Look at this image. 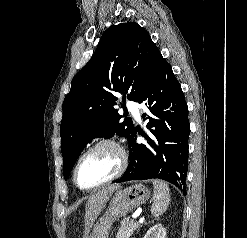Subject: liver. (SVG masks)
Wrapping results in <instances>:
<instances>
[{"mask_svg":"<svg viewBox=\"0 0 247 238\" xmlns=\"http://www.w3.org/2000/svg\"><path fill=\"white\" fill-rule=\"evenodd\" d=\"M119 188V185H110L104 187L88 199L85 207L86 232L90 230L94 221L104 209L106 202L109 200L113 192Z\"/></svg>","mask_w":247,"mask_h":238,"instance_id":"6515ba94","label":"liver"}]
</instances>
